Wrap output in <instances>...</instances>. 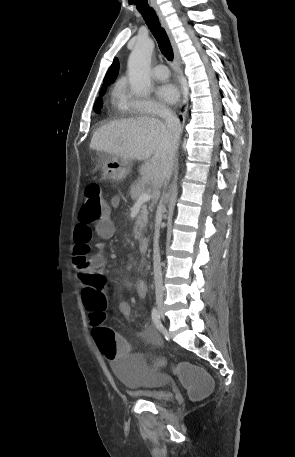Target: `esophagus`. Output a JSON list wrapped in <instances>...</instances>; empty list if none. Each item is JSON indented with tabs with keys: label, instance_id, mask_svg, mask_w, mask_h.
Returning <instances> with one entry per match:
<instances>
[{
	"label": "esophagus",
	"instance_id": "1",
	"mask_svg": "<svg viewBox=\"0 0 295 457\" xmlns=\"http://www.w3.org/2000/svg\"><path fill=\"white\" fill-rule=\"evenodd\" d=\"M154 9L155 11L157 12L158 16H159V19L161 21V24L162 26L164 27V29L166 30V33L169 37V40L171 42V45H172V48H173V52H174V66L177 70V72H179L180 70V55H179V51H178V47H177V44L173 38V35L171 33V30L164 18V16L162 15L161 11L159 10V8L157 6H154ZM183 103L185 104L186 103V95L183 91Z\"/></svg>",
	"mask_w": 295,
	"mask_h": 457
}]
</instances>
